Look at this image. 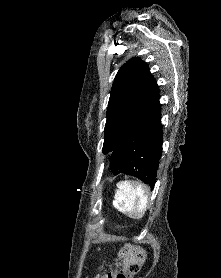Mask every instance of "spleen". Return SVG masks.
Instances as JSON below:
<instances>
[{"label": "spleen", "mask_w": 221, "mask_h": 278, "mask_svg": "<svg viewBox=\"0 0 221 278\" xmlns=\"http://www.w3.org/2000/svg\"><path fill=\"white\" fill-rule=\"evenodd\" d=\"M117 188L113 206L132 218H142L148 204V196L143 186L136 182L120 181Z\"/></svg>", "instance_id": "3e777b00"}]
</instances>
